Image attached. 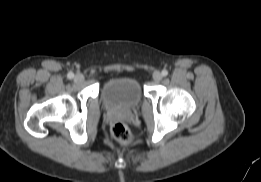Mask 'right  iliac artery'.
<instances>
[{
  "instance_id": "right-iliac-artery-1",
  "label": "right iliac artery",
  "mask_w": 261,
  "mask_h": 182,
  "mask_svg": "<svg viewBox=\"0 0 261 182\" xmlns=\"http://www.w3.org/2000/svg\"><path fill=\"white\" fill-rule=\"evenodd\" d=\"M67 77H68L69 79H72V78L74 77V74H73L72 72H69V73L67 74Z\"/></svg>"
}]
</instances>
